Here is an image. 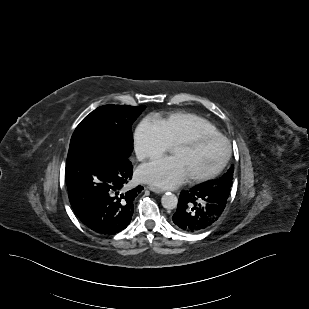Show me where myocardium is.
Listing matches in <instances>:
<instances>
[{
  "label": "myocardium",
  "mask_w": 309,
  "mask_h": 309,
  "mask_svg": "<svg viewBox=\"0 0 309 309\" xmlns=\"http://www.w3.org/2000/svg\"><path fill=\"white\" fill-rule=\"evenodd\" d=\"M210 139L219 140L223 143L224 145L223 157L220 163L218 164V166L211 172L204 174V175H200V176L189 177V181L192 183H203V182L212 180L215 177H217L226 167L231 157V144L224 135L220 133H212V132H207V131L194 132L184 138H181L180 140L176 141L173 144V148L177 146H194L205 140H210Z\"/></svg>",
  "instance_id": "1"
}]
</instances>
